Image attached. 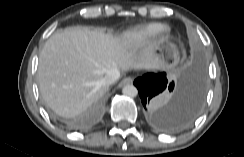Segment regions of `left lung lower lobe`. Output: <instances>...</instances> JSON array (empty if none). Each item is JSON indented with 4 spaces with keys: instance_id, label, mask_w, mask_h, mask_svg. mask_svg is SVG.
<instances>
[{
    "instance_id": "1",
    "label": "left lung lower lobe",
    "mask_w": 244,
    "mask_h": 157,
    "mask_svg": "<svg viewBox=\"0 0 244 157\" xmlns=\"http://www.w3.org/2000/svg\"><path fill=\"white\" fill-rule=\"evenodd\" d=\"M148 122L158 130L172 132L190 125L199 115L205 96L204 68L194 64L176 79L165 72L146 73L134 81Z\"/></svg>"
}]
</instances>
